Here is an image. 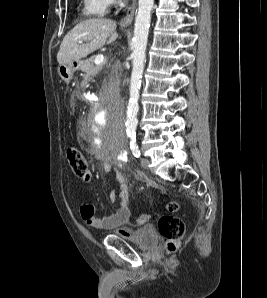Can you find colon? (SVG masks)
I'll return each instance as SVG.
<instances>
[{
  "instance_id": "1",
  "label": "colon",
  "mask_w": 267,
  "mask_h": 298,
  "mask_svg": "<svg viewBox=\"0 0 267 298\" xmlns=\"http://www.w3.org/2000/svg\"><path fill=\"white\" fill-rule=\"evenodd\" d=\"M66 159L73 172L82 180L87 179L89 175L88 162L83 153L74 146H69L66 150ZM169 214L162 216L158 221V229L166 240V247L169 252L178 249L185 233L184 221L176 216L179 210V204L171 201L167 204ZM151 219V215L144 214L137 219V224L143 225Z\"/></svg>"
}]
</instances>
